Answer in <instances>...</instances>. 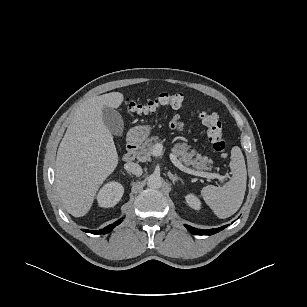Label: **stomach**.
<instances>
[{"instance_id": "stomach-1", "label": "stomach", "mask_w": 307, "mask_h": 307, "mask_svg": "<svg viewBox=\"0 0 307 307\" xmlns=\"http://www.w3.org/2000/svg\"><path fill=\"white\" fill-rule=\"evenodd\" d=\"M133 138L142 140L145 139L150 133L149 126H138L132 129L131 131Z\"/></svg>"}]
</instances>
